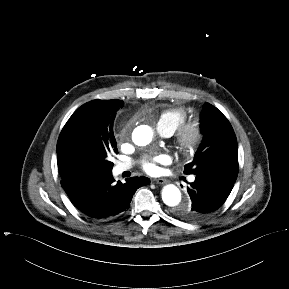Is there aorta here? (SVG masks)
<instances>
[{
	"label": "aorta",
	"instance_id": "obj_1",
	"mask_svg": "<svg viewBox=\"0 0 289 289\" xmlns=\"http://www.w3.org/2000/svg\"><path fill=\"white\" fill-rule=\"evenodd\" d=\"M132 137L136 145L146 146L152 141L153 131L149 126H139L135 129ZM162 200L167 206L174 208L177 212H187L190 208L188 201L182 203L181 192L173 184L166 185L162 189Z\"/></svg>",
	"mask_w": 289,
	"mask_h": 289
}]
</instances>
